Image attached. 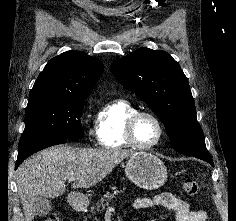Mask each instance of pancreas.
<instances>
[{
  "instance_id": "1",
  "label": "pancreas",
  "mask_w": 236,
  "mask_h": 221,
  "mask_svg": "<svg viewBox=\"0 0 236 221\" xmlns=\"http://www.w3.org/2000/svg\"><path fill=\"white\" fill-rule=\"evenodd\" d=\"M112 191H107L103 197L97 202L92 208L91 213L94 217V220L98 221L96 213H101L105 210L106 206L115 198L117 194L122 193V190H117L116 188H112Z\"/></svg>"
}]
</instances>
